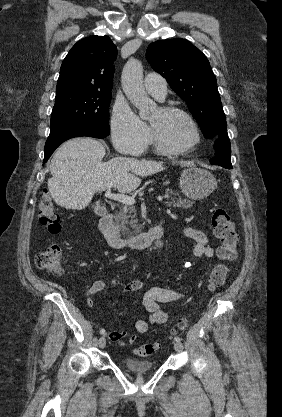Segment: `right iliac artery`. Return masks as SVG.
Masks as SVG:
<instances>
[{"label": "right iliac artery", "instance_id": "1", "mask_svg": "<svg viewBox=\"0 0 282 417\" xmlns=\"http://www.w3.org/2000/svg\"><path fill=\"white\" fill-rule=\"evenodd\" d=\"M100 334L105 335L106 334V330L105 329H101L100 330Z\"/></svg>", "mask_w": 282, "mask_h": 417}]
</instances>
